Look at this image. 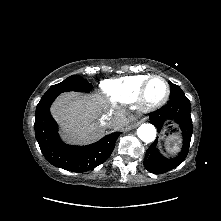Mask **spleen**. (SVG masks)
Listing matches in <instances>:
<instances>
[{
  "mask_svg": "<svg viewBox=\"0 0 221 221\" xmlns=\"http://www.w3.org/2000/svg\"><path fill=\"white\" fill-rule=\"evenodd\" d=\"M176 140H179V137L176 136V135L171 136V137H169V138L167 139V142H166V144H167L166 151H167L168 153H176V152L178 151L179 148H178L177 142H175ZM172 142H174V143H173V146L170 147V144H171Z\"/></svg>",
  "mask_w": 221,
  "mask_h": 221,
  "instance_id": "3e777b00",
  "label": "spleen"
}]
</instances>
